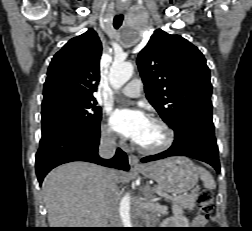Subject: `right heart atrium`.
<instances>
[{
    "instance_id": "obj_1",
    "label": "right heart atrium",
    "mask_w": 252,
    "mask_h": 231,
    "mask_svg": "<svg viewBox=\"0 0 252 231\" xmlns=\"http://www.w3.org/2000/svg\"><path fill=\"white\" fill-rule=\"evenodd\" d=\"M101 138L103 141L113 145L117 142L121 143V140H118L117 136L107 123H104L101 127Z\"/></svg>"
}]
</instances>
